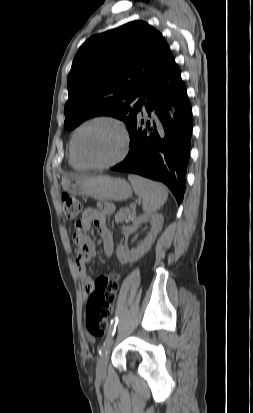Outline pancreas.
Wrapping results in <instances>:
<instances>
[{
  "mask_svg": "<svg viewBox=\"0 0 253 413\" xmlns=\"http://www.w3.org/2000/svg\"><path fill=\"white\" fill-rule=\"evenodd\" d=\"M130 214L129 208H121L117 214L115 215V221L117 223H121L127 219L128 215Z\"/></svg>",
  "mask_w": 253,
  "mask_h": 413,
  "instance_id": "pancreas-1",
  "label": "pancreas"
}]
</instances>
